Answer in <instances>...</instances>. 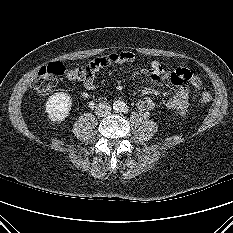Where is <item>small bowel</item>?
Returning <instances> with one entry per match:
<instances>
[{"instance_id": "obj_1", "label": "small bowel", "mask_w": 233, "mask_h": 233, "mask_svg": "<svg viewBox=\"0 0 233 233\" xmlns=\"http://www.w3.org/2000/svg\"><path fill=\"white\" fill-rule=\"evenodd\" d=\"M97 60L98 66L96 71L101 67L109 65L134 63L137 61V57L131 51H123L104 55L97 58ZM189 72L190 71L185 68H178L175 71H169L158 61L154 60L150 63L148 69L136 73L134 75V79L147 78L156 85H162L165 82H170L175 87V92L167 100L166 106L171 110L183 113L187 109L190 95L189 87L185 83L187 81L185 79V75ZM84 87L87 90L95 89L94 74L84 80ZM154 105V101L149 97H143L137 102V108L142 112L150 111L154 108Z\"/></svg>"}]
</instances>
